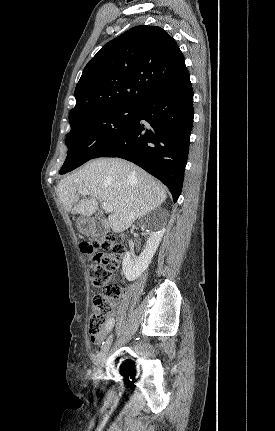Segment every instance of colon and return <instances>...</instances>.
Instances as JSON below:
<instances>
[{"label": "colon", "instance_id": "colon-1", "mask_svg": "<svg viewBox=\"0 0 275 431\" xmlns=\"http://www.w3.org/2000/svg\"><path fill=\"white\" fill-rule=\"evenodd\" d=\"M81 251L90 259V279L93 287L102 292L92 301V314L89 321L91 337L99 336L105 329L121 294V287L111 283L120 265L124 246L112 234H101L80 245Z\"/></svg>", "mask_w": 275, "mask_h": 431}]
</instances>
